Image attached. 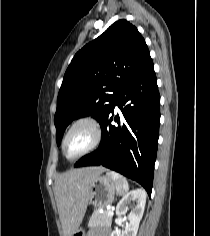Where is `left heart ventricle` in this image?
<instances>
[{
    "label": "left heart ventricle",
    "mask_w": 210,
    "mask_h": 236,
    "mask_svg": "<svg viewBox=\"0 0 210 236\" xmlns=\"http://www.w3.org/2000/svg\"><path fill=\"white\" fill-rule=\"evenodd\" d=\"M93 133L86 124L78 125L68 136L65 143V153L68 157H73L83 151L92 141Z\"/></svg>",
    "instance_id": "left-heart-ventricle-1"
}]
</instances>
